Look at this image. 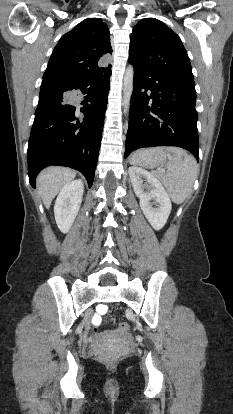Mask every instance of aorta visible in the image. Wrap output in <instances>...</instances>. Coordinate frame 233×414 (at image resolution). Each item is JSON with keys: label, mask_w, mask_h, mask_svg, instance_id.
Listing matches in <instances>:
<instances>
[{"label": "aorta", "mask_w": 233, "mask_h": 414, "mask_svg": "<svg viewBox=\"0 0 233 414\" xmlns=\"http://www.w3.org/2000/svg\"><path fill=\"white\" fill-rule=\"evenodd\" d=\"M134 69L129 65L126 69L123 80V105L124 112L129 110L130 100L133 92Z\"/></svg>", "instance_id": "obj_1"}]
</instances>
